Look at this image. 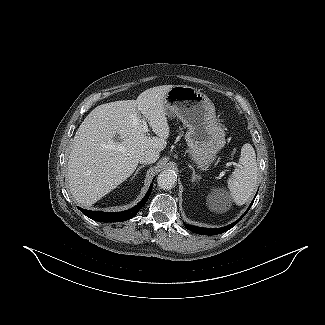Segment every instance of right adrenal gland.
Returning <instances> with one entry per match:
<instances>
[{
    "label": "right adrenal gland",
    "instance_id": "2a0ac1e0",
    "mask_svg": "<svg viewBox=\"0 0 325 325\" xmlns=\"http://www.w3.org/2000/svg\"><path fill=\"white\" fill-rule=\"evenodd\" d=\"M145 166L144 165H141L137 168V170L135 171L134 175L132 176L131 180H133L135 178V176L139 173V171L144 168Z\"/></svg>",
    "mask_w": 325,
    "mask_h": 325
}]
</instances>
